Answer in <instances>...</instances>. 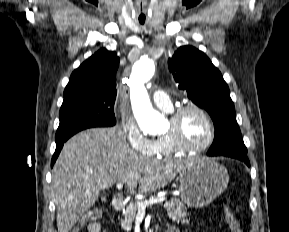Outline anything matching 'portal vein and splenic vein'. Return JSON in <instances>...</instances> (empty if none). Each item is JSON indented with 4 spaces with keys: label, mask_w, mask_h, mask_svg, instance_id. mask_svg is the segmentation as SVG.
I'll list each match as a JSON object with an SVG mask.
<instances>
[{
    "label": "portal vein and splenic vein",
    "mask_w": 289,
    "mask_h": 232,
    "mask_svg": "<svg viewBox=\"0 0 289 232\" xmlns=\"http://www.w3.org/2000/svg\"><path fill=\"white\" fill-rule=\"evenodd\" d=\"M116 187H117V189H122V188H123V183H117V184H116ZM165 200H166L165 197H159V198H155V199H150L149 201H146V202L140 201V202L137 203L138 211L144 213L146 207L152 206V205H154V204H161V203H163Z\"/></svg>",
    "instance_id": "portal-vein-and-splenic-vein-1"
}]
</instances>
